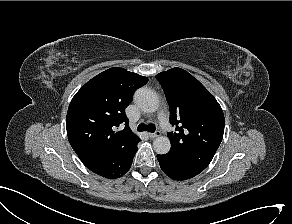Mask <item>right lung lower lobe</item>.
I'll list each match as a JSON object with an SVG mask.
<instances>
[{"instance_id":"98d812e1","label":"right lung lower lobe","mask_w":292,"mask_h":224,"mask_svg":"<svg viewBox=\"0 0 292 224\" xmlns=\"http://www.w3.org/2000/svg\"><path fill=\"white\" fill-rule=\"evenodd\" d=\"M137 144L124 152L77 151L76 153L89 170L102 177L114 179L121 177L130 169L138 149Z\"/></svg>"}]
</instances>
